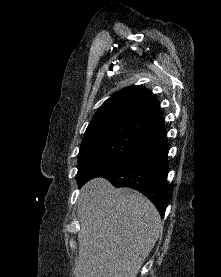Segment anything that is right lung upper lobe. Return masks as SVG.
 <instances>
[{
    "mask_svg": "<svg viewBox=\"0 0 221 277\" xmlns=\"http://www.w3.org/2000/svg\"><path fill=\"white\" fill-rule=\"evenodd\" d=\"M159 109L154 95L145 87L133 85L107 99L92 118L87 130L104 125L139 123L148 113Z\"/></svg>",
    "mask_w": 221,
    "mask_h": 277,
    "instance_id": "cb5924a9",
    "label": "right lung upper lobe"
}]
</instances>
